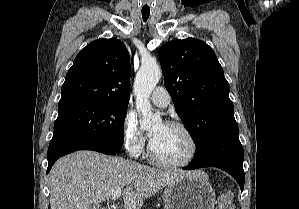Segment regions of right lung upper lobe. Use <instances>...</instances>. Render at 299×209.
Here are the masks:
<instances>
[{
    "mask_svg": "<svg viewBox=\"0 0 299 209\" xmlns=\"http://www.w3.org/2000/svg\"><path fill=\"white\" fill-rule=\"evenodd\" d=\"M130 75V56L120 40L93 41L78 53L67 72L59 104H128Z\"/></svg>",
    "mask_w": 299,
    "mask_h": 209,
    "instance_id": "1",
    "label": "right lung upper lobe"
}]
</instances>
